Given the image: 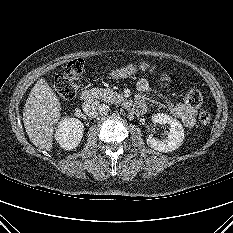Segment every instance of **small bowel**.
I'll return each instance as SVG.
<instances>
[{"instance_id": "obj_1", "label": "small bowel", "mask_w": 233, "mask_h": 233, "mask_svg": "<svg viewBox=\"0 0 233 233\" xmlns=\"http://www.w3.org/2000/svg\"><path fill=\"white\" fill-rule=\"evenodd\" d=\"M164 83L168 82L166 76L162 77ZM137 89L140 92L149 90V83L146 79L141 78L137 82ZM169 110L172 115L179 118L186 127H193L196 121V110L189 106L186 102L170 103Z\"/></svg>"}]
</instances>
